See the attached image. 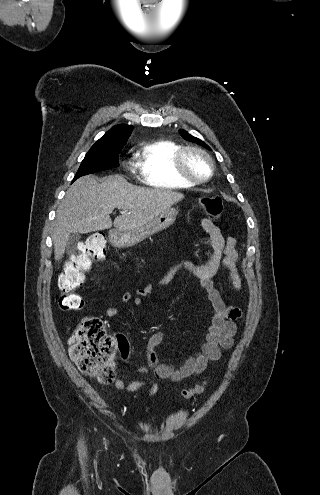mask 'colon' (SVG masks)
I'll return each mask as SVG.
<instances>
[{
    "label": "colon",
    "mask_w": 320,
    "mask_h": 495,
    "mask_svg": "<svg viewBox=\"0 0 320 495\" xmlns=\"http://www.w3.org/2000/svg\"><path fill=\"white\" fill-rule=\"evenodd\" d=\"M202 209L212 218L223 212V201L220 196H206L199 200ZM106 236L102 232L89 235L83 242L78 254L66 264L59 277L62 291L58 303L62 310H78L83 306L82 298L75 293L84 282L85 273L90 266L105 258ZM117 351L125 357L129 351L127 340L115 337L104 327L97 316L84 317L69 340V355L78 369L94 376L101 384H110L115 379V357ZM207 383H201L191 389L184 390L182 395L190 399L202 394Z\"/></svg>",
    "instance_id": "obj_1"
}]
</instances>
